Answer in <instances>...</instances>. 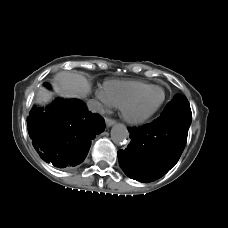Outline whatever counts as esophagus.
<instances>
[{"label":"esophagus","instance_id":"obj_1","mask_svg":"<svg viewBox=\"0 0 228 228\" xmlns=\"http://www.w3.org/2000/svg\"><path fill=\"white\" fill-rule=\"evenodd\" d=\"M105 122H106V126H107V127H111L112 125H114V124L116 123V121H115L114 119L109 118V117H107V118L105 119Z\"/></svg>","mask_w":228,"mask_h":228}]
</instances>
